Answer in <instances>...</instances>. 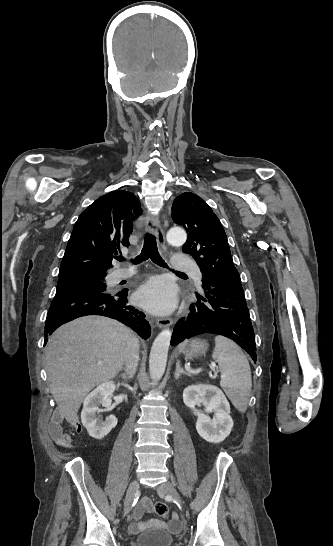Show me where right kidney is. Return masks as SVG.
I'll return each mask as SVG.
<instances>
[{
    "label": "right kidney",
    "mask_w": 333,
    "mask_h": 546,
    "mask_svg": "<svg viewBox=\"0 0 333 546\" xmlns=\"http://www.w3.org/2000/svg\"><path fill=\"white\" fill-rule=\"evenodd\" d=\"M116 388L114 382L108 381L97 386L87 395L83 402L81 421L89 435L95 439H102L110 433L117 425V418L114 415L108 416L105 421L99 419L97 414L104 410L111 409V396Z\"/></svg>",
    "instance_id": "obj_1"
}]
</instances>
